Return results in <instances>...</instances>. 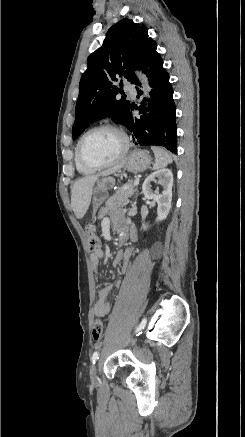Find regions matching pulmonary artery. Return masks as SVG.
<instances>
[{
  "label": "pulmonary artery",
  "instance_id": "e3ab8cb5",
  "mask_svg": "<svg viewBox=\"0 0 245 437\" xmlns=\"http://www.w3.org/2000/svg\"><path fill=\"white\" fill-rule=\"evenodd\" d=\"M124 90L126 91V92H128L130 95H132V96H134L135 95V89H134V87L132 86V85H130V84H125V86H124Z\"/></svg>",
  "mask_w": 245,
  "mask_h": 437
}]
</instances>
